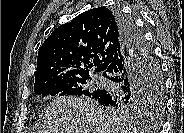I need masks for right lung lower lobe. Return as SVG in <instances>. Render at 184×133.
Masks as SVG:
<instances>
[{
    "mask_svg": "<svg viewBox=\"0 0 184 133\" xmlns=\"http://www.w3.org/2000/svg\"><path fill=\"white\" fill-rule=\"evenodd\" d=\"M121 32L122 48L108 67L104 77L112 82V88L103 89L92 96L100 104L111 106L120 98L140 99L148 84V55L146 42L135 30L133 22L120 11H115Z\"/></svg>",
    "mask_w": 184,
    "mask_h": 133,
    "instance_id": "98d812e1",
    "label": "right lung lower lobe"
}]
</instances>
